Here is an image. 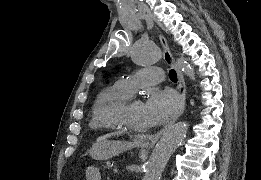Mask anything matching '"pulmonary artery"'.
<instances>
[{
    "label": "pulmonary artery",
    "instance_id": "1",
    "mask_svg": "<svg viewBox=\"0 0 261 180\" xmlns=\"http://www.w3.org/2000/svg\"><path fill=\"white\" fill-rule=\"evenodd\" d=\"M162 77L163 72L161 69L141 68L133 74L123 77L117 83L124 91L130 93L135 88L151 89V84L146 83L159 81Z\"/></svg>",
    "mask_w": 261,
    "mask_h": 180
}]
</instances>
